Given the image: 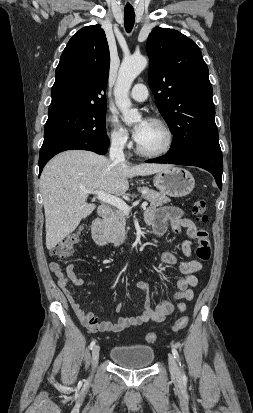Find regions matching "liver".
<instances>
[{
    "label": "liver",
    "instance_id": "1",
    "mask_svg": "<svg viewBox=\"0 0 253 413\" xmlns=\"http://www.w3.org/2000/svg\"><path fill=\"white\" fill-rule=\"evenodd\" d=\"M169 166L114 164L105 156L85 150H68L56 155L46 164L40 177L47 249L54 248L95 210V204H87L89 194L82 188L124 194L129 189V178L151 175Z\"/></svg>",
    "mask_w": 253,
    "mask_h": 413
}]
</instances>
